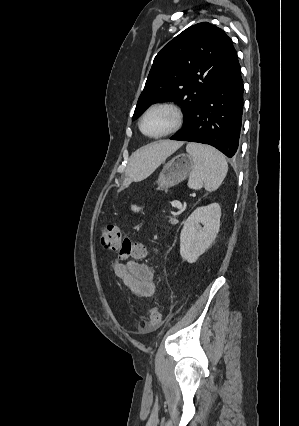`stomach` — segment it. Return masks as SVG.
I'll list each match as a JSON object with an SVG mask.
<instances>
[{
  "label": "stomach",
  "mask_w": 299,
  "mask_h": 426,
  "mask_svg": "<svg viewBox=\"0 0 299 426\" xmlns=\"http://www.w3.org/2000/svg\"><path fill=\"white\" fill-rule=\"evenodd\" d=\"M194 160L190 155L181 154L169 160L159 175L157 184L158 189H168L184 179H186L194 170Z\"/></svg>",
  "instance_id": "1"
}]
</instances>
